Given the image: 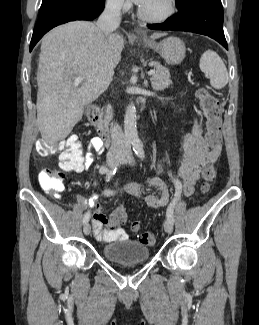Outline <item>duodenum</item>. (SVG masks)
Returning <instances> with one entry per match:
<instances>
[{
  "label": "duodenum",
  "instance_id": "obj_1",
  "mask_svg": "<svg viewBox=\"0 0 259 325\" xmlns=\"http://www.w3.org/2000/svg\"><path fill=\"white\" fill-rule=\"evenodd\" d=\"M87 116L90 123L97 129L99 138L105 146L110 144L111 136L107 128L102 123L100 108L97 105H92L87 111Z\"/></svg>",
  "mask_w": 259,
  "mask_h": 325
}]
</instances>
